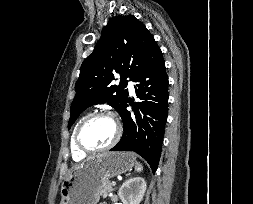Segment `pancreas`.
Returning <instances> with one entry per match:
<instances>
[{
    "mask_svg": "<svg viewBox=\"0 0 253 204\" xmlns=\"http://www.w3.org/2000/svg\"><path fill=\"white\" fill-rule=\"evenodd\" d=\"M113 191L112 185L109 181L105 182L100 188H99V194L103 197H107L110 192Z\"/></svg>",
    "mask_w": 253,
    "mask_h": 204,
    "instance_id": "pancreas-1",
    "label": "pancreas"
}]
</instances>
